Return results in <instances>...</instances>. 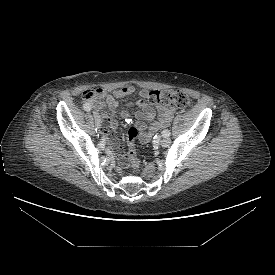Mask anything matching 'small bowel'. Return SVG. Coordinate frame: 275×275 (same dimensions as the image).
I'll return each instance as SVG.
<instances>
[{
	"label": "small bowel",
	"mask_w": 275,
	"mask_h": 275,
	"mask_svg": "<svg viewBox=\"0 0 275 275\" xmlns=\"http://www.w3.org/2000/svg\"><path fill=\"white\" fill-rule=\"evenodd\" d=\"M149 92L150 91L146 89L137 91L133 86H124L112 92L105 89H98L97 98L89 104H92L102 112L103 120L106 125L104 133L107 134L109 131H115L118 128V120L115 116L118 100L137 93L139 98L134 105L139 108L135 113V118L141 129L139 141L147 142L157 130L166 127L170 123L175 113L173 107L166 105H158L155 110L146 101ZM130 105L132 104H128V106ZM122 115H126V113L122 112ZM145 122H149L148 125H145ZM114 152L119 161H125L127 159V155L124 153L123 147L120 144L116 143L114 145Z\"/></svg>",
	"instance_id": "obj_1"
}]
</instances>
